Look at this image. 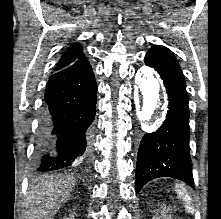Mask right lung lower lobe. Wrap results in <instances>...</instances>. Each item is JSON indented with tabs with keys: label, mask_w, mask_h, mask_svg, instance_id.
Instances as JSON below:
<instances>
[{
	"label": "right lung lower lobe",
	"mask_w": 221,
	"mask_h": 219,
	"mask_svg": "<svg viewBox=\"0 0 221 219\" xmlns=\"http://www.w3.org/2000/svg\"><path fill=\"white\" fill-rule=\"evenodd\" d=\"M96 102L97 84L85 56L50 77L36 141L37 172L60 170L90 157Z\"/></svg>",
	"instance_id": "obj_1"
}]
</instances>
